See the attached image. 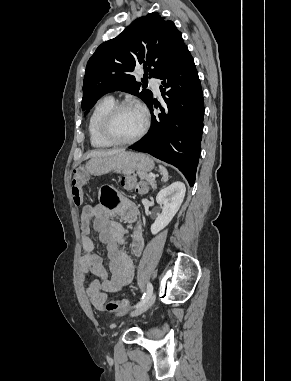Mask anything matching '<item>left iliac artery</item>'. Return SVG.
<instances>
[{
    "instance_id": "1",
    "label": "left iliac artery",
    "mask_w": 291,
    "mask_h": 381,
    "mask_svg": "<svg viewBox=\"0 0 291 381\" xmlns=\"http://www.w3.org/2000/svg\"><path fill=\"white\" fill-rule=\"evenodd\" d=\"M153 293V286L150 282L147 283V292L142 296L141 301L134 307L138 308L144 301H146Z\"/></svg>"
}]
</instances>
